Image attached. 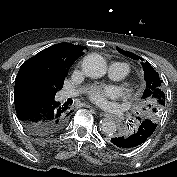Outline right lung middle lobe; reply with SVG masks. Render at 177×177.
Returning <instances> with one entry per match:
<instances>
[{"label": "right lung middle lobe", "instance_id": "1", "mask_svg": "<svg viewBox=\"0 0 177 177\" xmlns=\"http://www.w3.org/2000/svg\"><path fill=\"white\" fill-rule=\"evenodd\" d=\"M29 89H32V90H35V91H38V92H42V93H46V94H49V95H55L56 92L58 90H52V89H47V88H42V87H39V86H36V85H30L28 86Z\"/></svg>", "mask_w": 177, "mask_h": 177}]
</instances>
